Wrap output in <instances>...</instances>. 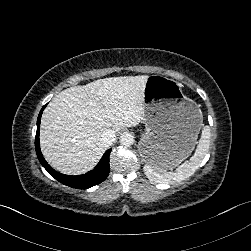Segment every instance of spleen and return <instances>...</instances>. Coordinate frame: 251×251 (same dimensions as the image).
Instances as JSON below:
<instances>
[{
	"mask_svg": "<svg viewBox=\"0 0 251 251\" xmlns=\"http://www.w3.org/2000/svg\"><path fill=\"white\" fill-rule=\"evenodd\" d=\"M210 127L205 126L202 129L200 140L197 144L194 154L189 160L182 162L175 168L174 171L164 172L163 170L156 169L151 163L144 166V172L152 182L176 183L187 179L201 165L205 155L207 154L210 146Z\"/></svg>",
	"mask_w": 251,
	"mask_h": 251,
	"instance_id": "3e777b00",
	"label": "spleen"
}]
</instances>
